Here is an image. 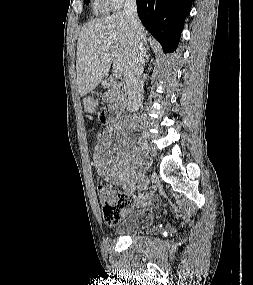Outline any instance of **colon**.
<instances>
[{"label":"colon","mask_w":253,"mask_h":285,"mask_svg":"<svg viewBox=\"0 0 253 285\" xmlns=\"http://www.w3.org/2000/svg\"><path fill=\"white\" fill-rule=\"evenodd\" d=\"M88 119L92 121L95 114V103L88 101L85 104ZM97 193L102 205V213L105 222L114 224L120 220L123 214L134 205V199L129 194L107 188L104 185L97 186Z\"/></svg>","instance_id":"5ec220e1"}]
</instances>
